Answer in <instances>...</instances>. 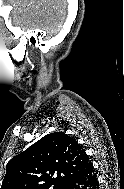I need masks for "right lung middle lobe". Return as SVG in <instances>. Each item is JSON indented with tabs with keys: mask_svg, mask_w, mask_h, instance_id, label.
Returning <instances> with one entry per match:
<instances>
[{
	"mask_svg": "<svg viewBox=\"0 0 124 189\" xmlns=\"http://www.w3.org/2000/svg\"><path fill=\"white\" fill-rule=\"evenodd\" d=\"M62 187L63 185H60V184H49V185L38 187L37 189H62Z\"/></svg>",
	"mask_w": 124,
	"mask_h": 189,
	"instance_id": "dd1d6c3e",
	"label": "right lung middle lobe"
}]
</instances>
